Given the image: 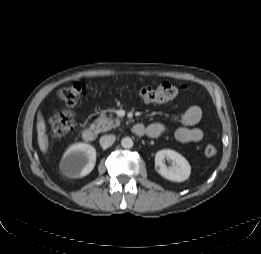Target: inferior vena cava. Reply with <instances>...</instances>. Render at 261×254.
<instances>
[{
  "instance_id": "1",
  "label": "inferior vena cava",
  "mask_w": 261,
  "mask_h": 254,
  "mask_svg": "<svg viewBox=\"0 0 261 254\" xmlns=\"http://www.w3.org/2000/svg\"><path fill=\"white\" fill-rule=\"evenodd\" d=\"M115 135H104L100 138V145L106 149L115 142Z\"/></svg>"
}]
</instances>
